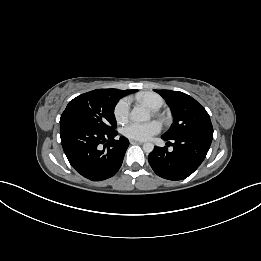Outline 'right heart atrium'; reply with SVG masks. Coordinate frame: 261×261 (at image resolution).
Listing matches in <instances>:
<instances>
[{
  "instance_id": "1",
  "label": "right heart atrium",
  "mask_w": 261,
  "mask_h": 261,
  "mask_svg": "<svg viewBox=\"0 0 261 261\" xmlns=\"http://www.w3.org/2000/svg\"><path fill=\"white\" fill-rule=\"evenodd\" d=\"M129 99H121L114 108V117L118 123H124L129 116Z\"/></svg>"
}]
</instances>
